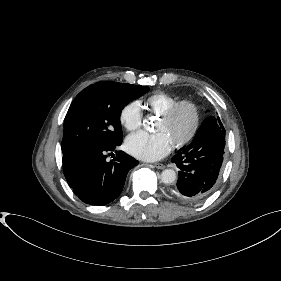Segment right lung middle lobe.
Wrapping results in <instances>:
<instances>
[{
	"mask_svg": "<svg viewBox=\"0 0 281 281\" xmlns=\"http://www.w3.org/2000/svg\"><path fill=\"white\" fill-rule=\"evenodd\" d=\"M149 91V87L101 81L81 91L64 120L63 157L83 147L122 141L121 110Z\"/></svg>",
	"mask_w": 281,
	"mask_h": 281,
	"instance_id": "1",
	"label": "right lung middle lobe"
}]
</instances>
